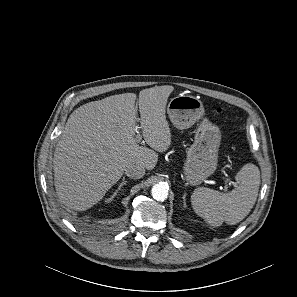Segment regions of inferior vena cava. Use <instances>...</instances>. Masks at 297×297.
<instances>
[{"label":"inferior vena cava","instance_id":"inferior-vena-cava-1","mask_svg":"<svg viewBox=\"0 0 297 297\" xmlns=\"http://www.w3.org/2000/svg\"><path fill=\"white\" fill-rule=\"evenodd\" d=\"M125 174L131 179H140L145 174V168L140 165H129L125 169Z\"/></svg>","mask_w":297,"mask_h":297}]
</instances>
